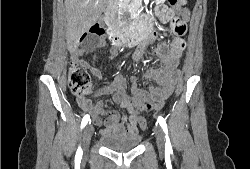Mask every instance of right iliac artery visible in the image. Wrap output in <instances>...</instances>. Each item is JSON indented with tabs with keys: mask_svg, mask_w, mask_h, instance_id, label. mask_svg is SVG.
I'll use <instances>...</instances> for the list:
<instances>
[{
	"mask_svg": "<svg viewBox=\"0 0 250 169\" xmlns=\"http://www.w3.org/2000/svg\"><path fill=\"white\" fill-rule=\"evenodd\" d=\"M89 119L90 117L88 114L83 117L82 122H81V129H83L86 126ZM82 154H83V151L81 147L79 146L75 155V162H81Z\"/></svg>",
	"mask_w": 250,
	"mask_h": 169,
	"instance_id": "obj_1",
	"label": "right iliac artery"
}]
</instances>
